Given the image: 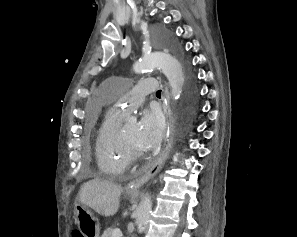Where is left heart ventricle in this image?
<instances>
[{"label": "left heart ventricle", "instance_id": "obj_1", "mask_svg": "<svg viewBox=\"0 0 297 237\" xmlns=\"http://www.w3.org/2000/svg\"><path fill=\"white\" fill-rule=\"evenodd\" d=\"M122 131V134L127 139V141L136 149L142 150V147L140 146L138 142V130H137V124H130L127 126H124L120 129Z\"/></svg>", "mask_w": 297, "mask_h": 237}]
</instances>
